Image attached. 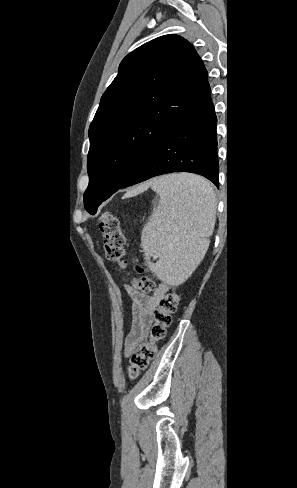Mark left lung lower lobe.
<instances>
[{
  "mask_svg": "<svg viewBox=\"0 0 297 488\" xmlns=\"http://www.w3.org/2000/svg\"><path fill=\"white\" fill-rule=\"evenodd\" d=\"M216 123L214 105L210 101L173 130L121 188L170 172L196 173L218 187Z\"/></svg>",
  "mask_w": 297,
  "mask_h": 488,
  "instance_id": "left-lung-lower-lobe-1",
  "label": "left lung lower lobe"
}]
</instances>
